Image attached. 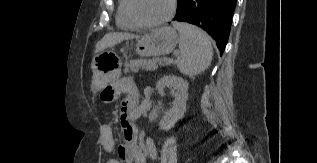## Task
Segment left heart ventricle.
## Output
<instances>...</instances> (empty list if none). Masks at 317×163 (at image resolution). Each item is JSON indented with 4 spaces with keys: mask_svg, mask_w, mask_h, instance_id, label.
<instances>
[{
    "mask_svg": "<svg viewBox=\"0 0 317 163\" xmlns=\"http://www.w3.org/2000/svg\"><path fill=\"white\" fill-rule=\"evenodd\" d=\"M170 6V0H135L137 14L144 21H156L164 17Z\"/></svg>",
    "mask_w": 317,
    "mask_h": 163,
    "instance_id": "1",
    "label": "left heart ventricle"
}]
</instances>
